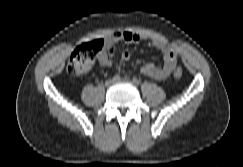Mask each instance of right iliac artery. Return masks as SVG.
Masks as SVG:
<instances>
[{
  "label": "right iliac artery",
  "mask_w": 243,
  "mask_h": 167,
  "mask_svg": "<svg viewBox=\"0 0 243 167\" xmlns=\"http://www.w3.org/2000/svg\"><path fill=\"white\" fill-rule=\"evenodd\" d=\"M120 79H121V77H120L119 74H116V75H114V77H113V81H115V82L119 81Z\"/></svg>",
  "instance_id": "1"
}]
</instances>
